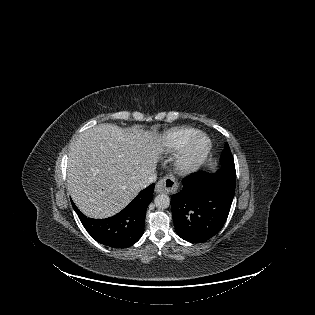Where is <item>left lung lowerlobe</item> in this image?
<instances>
[{
	"label": "left lung lower lobe",
	"instance_id": "0a47b994",
	"mask_svg": "<svg viewBox=\"0 0 315 315\" xmlns=\"http://www.w3.org/2000/svg\"><path fill=\"white\" fill-rule=\"evenodd\" d=\"M235 168L221 167L216 173H193L182 180V190L171 197L177 234L191 243L216 235L228 217L235 194Z\"/></svg>",
	"mask_w": 315,
	"mask_h": 315
}]
</instances>
